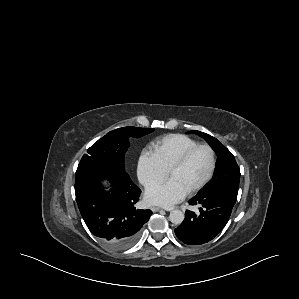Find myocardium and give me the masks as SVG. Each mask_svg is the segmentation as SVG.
<instances>
[{
  "mask_svg": "<svg viewBox=\"0 0 299 299\" xmlns=\"http://www.w3.org/2000/svg\"><path fill=\"white\" fill-rule=\"evenodd\" d=\"M201 148L207 149L210 153V156H211L210 169H209L207 175L204 177V179L200 183H198L196 186H194L193 188H191L190 190L187 191L188 194H194V193L200 191L212 179V177L215 173V170H216V165H217L216 153H215V150L213 149V147L206 143L196 144V145L190 147L177 159V161L170 167V169L168 171V175L170 176L173 172L182 168L187 163L189 158L193 155V153Z\"/></svg>",
  "mask_w": 299,
  "mask_h": 299,
  "instance_id": "obj_1",
  "label": "myocardium"
}]
</instances>
